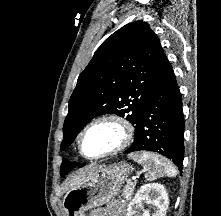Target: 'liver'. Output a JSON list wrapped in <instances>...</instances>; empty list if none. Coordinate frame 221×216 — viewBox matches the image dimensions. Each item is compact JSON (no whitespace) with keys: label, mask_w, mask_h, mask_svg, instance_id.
<instances>
[{"label":"liver","mask_w":221,"mask_h":216,"mask_svg":"<svg viewBox=\"0 0 221 216\" xmlns=\"http://www.w3.org/2000/svg\"><path fill=\"white\" fill-rule=\"evenodd\" d=\"M96 167L90 165L83 169H80L75 175L71 176L68 180L65 181V188L69 189L70 187L75 186L81 180H83L89 173H91Z\"/></svg>","instance_id":"obj_1"}]
</instances>
